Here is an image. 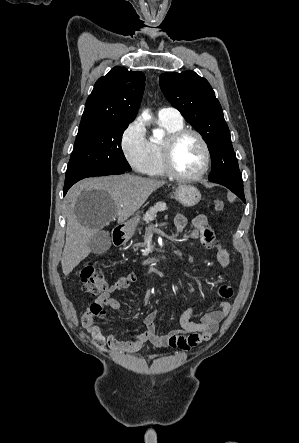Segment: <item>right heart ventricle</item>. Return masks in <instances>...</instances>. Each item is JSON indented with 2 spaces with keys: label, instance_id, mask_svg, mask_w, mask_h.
<instances>
[{
  "label": "right heart ventricle",
  "instance_id": "right-heart-ventricle-1",
  "mask_svg": "<svg viewBox=\"0 0 299 443\" xmlns=\"http://www.w3.org/2000/svg\"><path fill=\"white\" fill-rule=\"evenodd\" d=\"M161 126L165 129L167 135L184 128L183 121H173L160 119ZM164 140L151 139L148 141V164L144 171L149 176L161 177L165 176L167 173L164 169L162 162V145Z\"/></svg>",
  "mask_w": 299,
  "mask_h": 443
}]
</instances>
